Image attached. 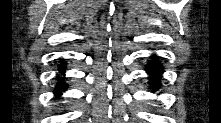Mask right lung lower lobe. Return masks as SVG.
Instances as JSON below:
<instances>
[{
    "label": "right lung lower lobe",
    "mask_w": 221,
    "mask_h": 123,
    "mask_svg": "<svg viewBox=\"0 0 221 123\" xmlns=\"http://www.w3.org/2000/svg\"><path fill=\"white\" fill-rule=\"evenodd\" d=\"M64 69H65V63L64 62H61V66H60V68L58 69L59 70V72L61 73V74H63L64 75ZM67 88V84L61 79L59 82H58V84L56 85V88H55V94L58 96V95H60L61 94V91L62 90H65Z\"/></svg>",
    "instance_id": "obj_1"
}]
</instances>
